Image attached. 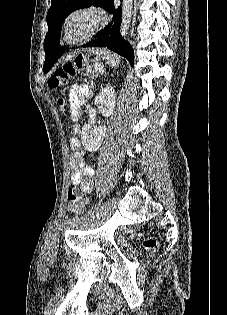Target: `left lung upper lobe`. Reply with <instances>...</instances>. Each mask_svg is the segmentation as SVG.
<instances>
[{
	"instance_id": "1",
	"label": "left lung upper lobe",
	"mask_w": 227,
	"mask_h": 315,
	"mask_svg": "<svg viewBox=\"0 0 227 315\" xmlns=\"http://www.w3.org/2000/svg\"><path fill=\"white\" fill-rule=\"evenodd\" d=\"M109 0H51V7L47 13L48 32L44 46L51 41H58L61 34V25L65 18L79 8L90 6L106 8Z\"/></svg>"
}]
</instances>
